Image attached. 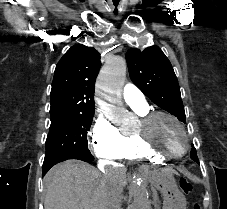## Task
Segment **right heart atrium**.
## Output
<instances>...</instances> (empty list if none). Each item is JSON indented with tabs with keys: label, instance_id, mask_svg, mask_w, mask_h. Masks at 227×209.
<instances>
[{
	"label": "right heart atrium",
	"instance_id": "right-heart-atrium-1",
	"mask_svg": "<svg viewBox=\"0 0 227 209\" xmlns=\"http://www.w3.org/2000/svg\"><path fill=\"white\" fill-rule=\"evenodd\" d=\"M92 153L101 159H119L125 144V135L109 120L99 117L91 130Z\"/></svg>",
	"mask_w": 227,
	"mask_h": 209
}]
</instances>
